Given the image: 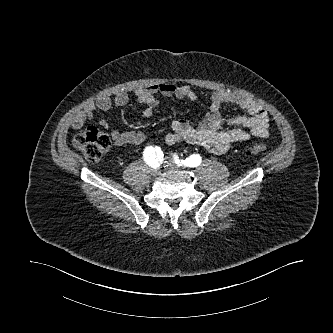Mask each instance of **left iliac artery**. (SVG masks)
I'll use <instances>...</instances> for the list:
<instances>
[{"label": "left iliac artery", "mask_w": 333, "mask_h": 333, "mask_svg": "<svg viewBox=\"0 0 333 333\" xmlns=\"http://www.w3.org/2000/svg\"><path fill=\"white\" fill-rule=\"evenodd\" d=\"M175 162L179 165H186L189 167H196L201 164L202 158L199 154H193L190 157L186 158L185 160H179L178 157H175Z\"/></svg>", "instance_id": "left-iliac-artery-1"}]
</instances>
